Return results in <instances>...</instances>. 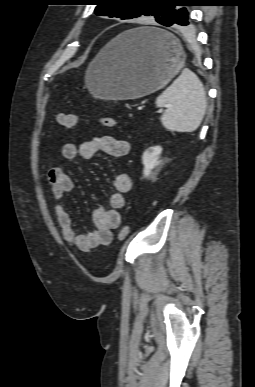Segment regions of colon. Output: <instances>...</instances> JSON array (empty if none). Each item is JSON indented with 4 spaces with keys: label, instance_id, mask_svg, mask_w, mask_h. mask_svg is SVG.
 I'll return each instance as SVG.
<instances>
[{
    "label": "colon",
    "instance_id": "1",
    "mask_svg": "<svg viewBox=\"0 0 255 387\" xmlns=\"http://www.w3.org/2000/svg\"><path fill=\"white\" fill-rule=\"evenodd\" d=\"M58 123L66 128H73L77 125L79 117L75 114L59 113L57 115ZM99 122L101 125L107 128H114L117 125V121L112 117H100ZM131 228L129 225H124L120 228L118 237L120 240L126 239L130 234Z\"/></svg>",
    "mask_w": 255,
    "mask_h": 387
}]
</instances>
